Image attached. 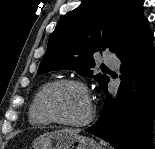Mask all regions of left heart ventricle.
I'll list each match as a JSON object with an SVG mask.
<instances>
[{"mask_svg": "<svg viewBox=\"0 0 155 149\" xmlns=\"http://www.w3.org/2000/svg\"><path fill=\"white\" fill-rule=\"evenodd\" d=\"M47 103L55 115L68 121L84 119L89 110L85 94L79 87L73 85L53 88L47 96Z\"/></svg>", "mask_w": 155, "mask_h": 149, "instance_id": "1", "label": "left heart ventricle"}]
</instances>
